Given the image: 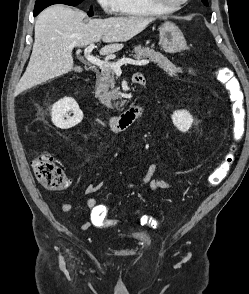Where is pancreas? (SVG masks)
Instances as JSON below:
<instances>
[{
	"mask_svg": "<svg viewBox=\"0 0 249 294\" xmlns=\"http://www.w3.org/2000/svg\"><path fill=\"white\" fill-rule=\"evenodd\" d=\"M133 52L137 57L148 58L149 60L153 61L157 64V66L162 68L170 75L176 76L177 73L182 72L180 67H176L167 59V57L159 52L154 51L153 49L136 46L134 47ZM96 93L100 101L109 109H113L114 107L120 109L125 104L124 100L117 101L121 99L122 94L119 88L116 87L115 72L110 67H104L101 70V74L97 77Z\"/></svg>",
	"mask_w": 249,
	"mask_h": 294,
	"instance_id": "pancreas-1",
	"label": "pancreas"
}]
</instances>
